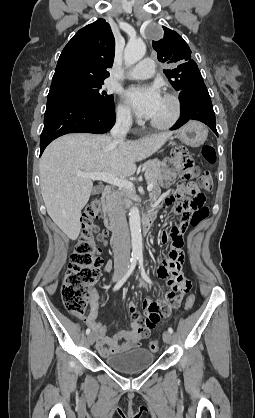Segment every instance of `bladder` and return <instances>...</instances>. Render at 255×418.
I'll return each mask as SVG.
<instances>
[{
  "mask_svg": "<svg viewBox=\"0 0 255 418\" xmlns=\"http://www.w3.org/2000/svg\"><path fill=\"white\" fill-rule=\"evenodd\" d=\"M104 361L116 371L133 373L150 367L154 362V353L147 348H137L121 354L107 356Z\"/></svg>",
  "mask_w": 255,
  "mask_h": 418,
  "instance_id": "obj_1",
  "label": "bladder"
}]
</instances>
